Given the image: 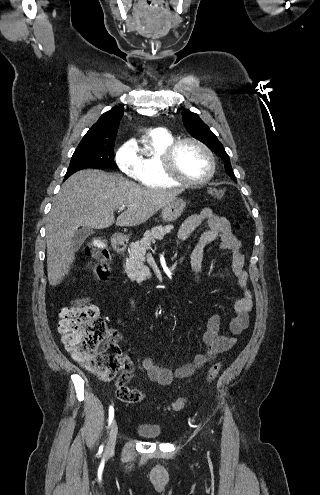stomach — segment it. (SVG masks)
I'll list each match as a JSON object with an SVG mask.
<instances>
[{"label":"stomach","mask_w":320,"mask_h":495,"mask_svg":"<svg viewBox=\"0 0 320 495\" xmlns=\"http://www.w3.org/2000/svg\"><path fill=\"white\" fill-rule=\"evenodd\" d=\"M185 207L186 202L184 200L175 198L162 208V220L164 222L176 221L183 213Z\"/></svg>","instance_id":"0dacf381"}]
</instances>
